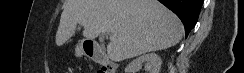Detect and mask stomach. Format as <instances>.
Returning <instances> with one entry per match:
<instances>
[{
  "instance_id": "0dacf381",
  "label": "stomach",
  "mask_w": 244,
  "mask_h": 73,
  "mask_svg": "<svg viewBox=\"0 0 244 73\" xmlns=\"http://www.w3.org/2000/svg\"><path fill=\"white\" fill-rule=\"evenodd\" d=\"M75 53L77 56H82V55H86L87 52L85 51V47H84V43H79L76 48H75Z\"/></svg>"
}]
</instances>
